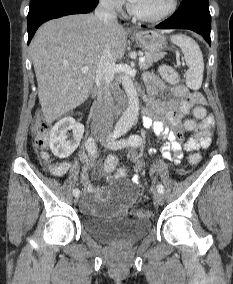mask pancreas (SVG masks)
Returning a JSON list of instances; mask_svg holds the SVG:
<instances>
[{
  "instance_id": "obj_1",
  "label": "pancreas",
  "mask_w": 233,
  "mask_h": 284,
  "mask_svg": "<svg viewBox=\"0 0 233 284\" xmlns=\"http://www.w3.org/2000/svg\"><path fill=\"white\" fill-rule=\"evenodd\" d=\"M166 53L164 52H157V53H152V52H145L144 53V58L145 61L143 63H139L140 69L141 70H147L149 69L153 63L157 62L158 60L162 59L165 56Z\"/></svg>"
}]
</instances>
